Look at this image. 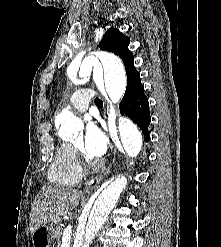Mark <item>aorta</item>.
<instances>
[{
    "label": "aorta",
    "instance_id": "1",
    "mask_svg": "<svg viewBox=\"0 0 221 247\" xmlns=\"http://www.w3.org/2000/svg\"><path fill=\"white\" fill-rule=\"evenodd\" d=\"M103 78L109 97L115 103L123 97L126 89V76L121 61L103 52H95L80 62H73L67 68L69 76L85 78L91 71ZM70 107L62 110L57 116L60 132L66 133L68 139H76L83 128L82 121L69 111ZM119 133L122 148L129 157H136L142 148V135L136 125L126 118L119 119ZM127 178L120 176L111 182L95 200L82 238L77 247H90V244L105 223L109 213L116 206L118 199L126 188Z\"/></svg>",
    "mask_w": 221,
    "mask_h": 247
}]
</instances>
